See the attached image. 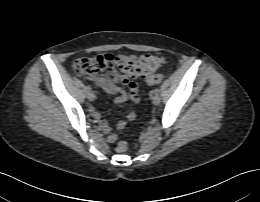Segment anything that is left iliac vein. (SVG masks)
Wrapping results in <instances>:
<instances>
[{
	"label": "left iliac vein",
	"mask_w": 260,
	"mask_h": 202,
	"mask_svg": "<svg viewBox=\"0 0 260 202\" xmlns=\"http://www.w3.org/2000/svg\"><path fill=\"white\" fill-rule=\"evenodd\" d=\"M160 96L158 95V94H156V93H154L153 95H152V103L154 104V105H158L159 103H160Z\"/></svg>",
	"instance_id": "4c4485c4"
}]
</instances>
